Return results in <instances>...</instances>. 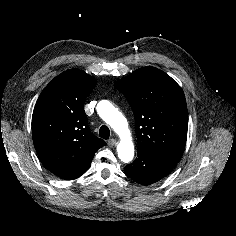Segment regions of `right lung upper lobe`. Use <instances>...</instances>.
Returning a JSON list of instances; mask_svg holds the SVG:
<instances>
[{
	"label": "right lung upper lobe",
	"mask_w": 236,
	"mask_h": 236,
	"mask_svg": "<svg viewBox=\"0 0 236 236\" xmlns=\"http://www.w3.org/2000/svg\"><path fill=\"white\" fill-rule=\"evenodd\" d=\"M96 80L79 69L55 77L42 91L32 115V137L43 165L65 178L87 170L106 142L87 125L83 104Z\"/></svg>",
	"instance_id": "obj_1"
}]
</instances>
